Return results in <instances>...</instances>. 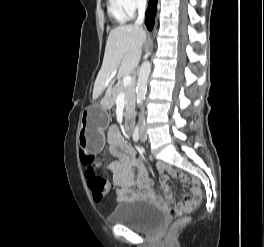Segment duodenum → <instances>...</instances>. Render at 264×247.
Listing matches in <instances>:
<instances>
[{
	"mask_svg": "<svg viewBox=\"0 0 264 247\" xmlns=\"http://www.w3.org/2000/svg\"><path fill=\"white\" fill-rule=\"evenodd\" d=\"M125 124L128 129H132L133 124H134V117L132 113H129L125 119Z\"/></svg>",
	"mask_w": 264,
	"mask_h": 247,
	"instance_id": "duodenum-1",
	"label": "duodenum"
}]
</instances>
